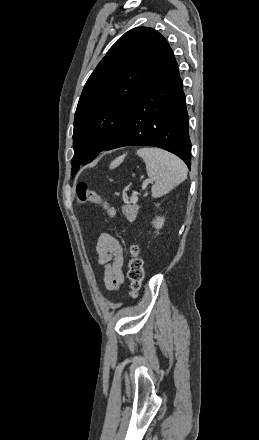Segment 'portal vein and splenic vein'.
Segmentation results:
<instances>
[{
	"instance_id": "obj_1",
	"label": "portal vein and splenic vein",
	"mask_w": 259,
	"mask_h": 440,
	"mask_svg": "<svg viewBox=\"0 0 259 440\" xmlns=\"http://www.w3.org/2000/svg\"><path fill=\"white\" fill-rule=\"evenodd\" d=\"M151 181L150 180H147L146 182H145V184L147 185L148 183H150ZM138 201V198H137V196H136V194H133L132 195V202L133 203H136Z\"/></svg>"
}]
</instances>
